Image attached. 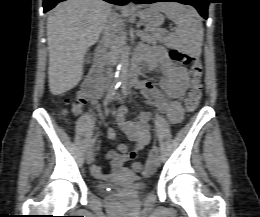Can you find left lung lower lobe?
I'll return each instance as SVG.
<instances>
[{"label":"left lung lower lobe","instance_id":"left-lung-lower-lobe-1","mask_svg":"<svg viewBox=\"0 0 260 217\" xmlns=\"http://www.w3.org/2000/svg\"><path fill=\"white\" fill-rule=\"evenodd\" d=\"M134 3L140 4V3H155V2H179L182 4H189L194 6L202 17L207 19V9L208 4L211 2L210 0H131Z\"/></svg>","mask_w":260,"mask_h":217}]
</instances>
